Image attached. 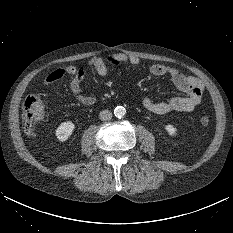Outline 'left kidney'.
<instances>
[{"label":"left kidney","mask_w":233,"mask_h":233,"mask_svg":"<svg viewBox=\"0 0 233 233\" xmlns=\"http://www.w3.org/2000/svg\"><path fill=\"white\" fill-rule=\"evenodd\" d=\"M165 130L168 132L170 136H175L177 132V128L171 124L166 125Z\"/></svg>","instance_id":"1"}]
</instances>
